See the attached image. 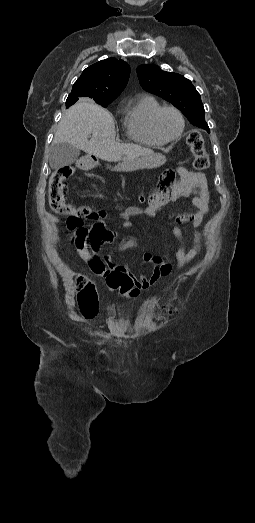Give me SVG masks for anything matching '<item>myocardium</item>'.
I'll use <instances>...</instances> for the list:
<instances>
[{"mask_svg":"<svg viewBox=\"0 0 255 523\" xmlns=\"http://www.w3.org/2000/svg\"><path fill=\"white\" fill-rule=\"evenodd\" d=\"M166 110L174 111L177 114V116L179 117L180 124H181L179 133L175 137L170 138V139H166V138L162 137L157 129V120H158L160 114ZM150 127H151L153 135L161 142H163V143L174 142V141L178 140L184 132L185 118H184L183 113L177 107L172 106V105H163V106L159 107L152 115L151 120H150Z\"/></svg>","mask_w":255,"mask_h":523,"instance_id":"1","label":"myocardium"}]
</instances>
